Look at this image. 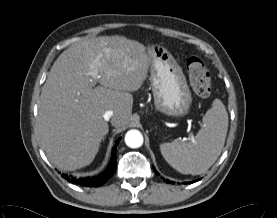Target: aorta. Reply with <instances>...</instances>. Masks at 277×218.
Listing matches in <instances>:
<instances>
[{
  "label": "aorta",
  "instance_id": "1",
  "mask_svg": "<svg viewBox=\"0 0 277 218\" xmlns=\"http://www.w3.org/2000/svg\"><path fill=\"white\" fill-rule=\"evenodd\" d=\"M125 143L130 148H138L143 144V136L138 130H129L125 135Z\"/></svg>",
  "mask_w": 277,
  "mask_h": 218
}]
</instances>
